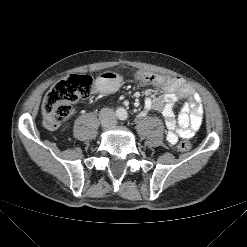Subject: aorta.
<instances>
[{
  "label": "aorta",
  "instance_id": "1",
  "mask_svg": "<svg viewBox=\"0 0 247 247\" xmlns=\"http://www.w3.org/2000/svg\"><path fill=\"white\" fill-rule=\"evenodd\" d=\"M118 114H119V117H124L127 113H126V110L123 109V108H119L118 109Z\"/></svg>",
  "mask_w": 247,
  "mask_h": 247
}]
</instances>
